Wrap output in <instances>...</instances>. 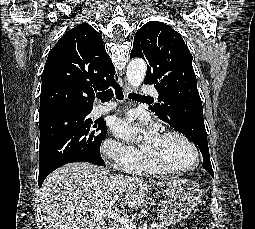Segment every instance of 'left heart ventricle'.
I'll list each match as a JSON object with an SVG mask.
<instances>
[{"mask_svg": "<svg viewBox=\"0 0 255 229\" xmlns=\"http://www.w3.org/2000/svg\"><path fill=\"white\" fill-rule=\"evenodd\" d=\"M143 150L154 161L169 167H185L194 160L191 148L175 136L159 135L154 143Z\"/></svg>", "mask_w": 255, "mask_h": 229, "instance_id": "left-heart-ventricle-1", "label": "left heart ventricle"}]
</instances>
